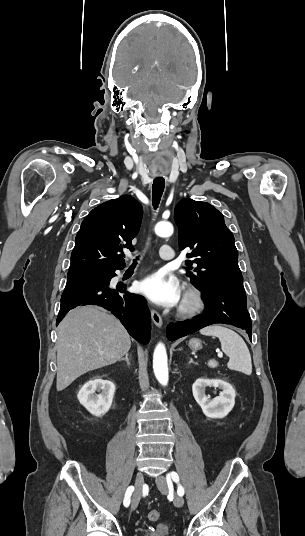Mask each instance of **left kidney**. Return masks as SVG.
<instances>
[{
  "mask_svg": "<svg viewBox=\"0 0 305 536\" xmlns=\"http://www.w3.org/2000/svg\"><path fill=\"white\" fill-rule=\"evenodd\" d=\"M211 386V388H220V392L217 398L210 400V396H206L205 388ZM193 396L201 406L203 414L207 418H225L235 404V390H233L231 384L225 382V380H205V378H198L192 386Z\"/></svg>",
  "mask_w": 305,
  "mask_h": 536,
  "instance_id": "5707ae66",
  "label": "left kidney"
}]
</instances>
